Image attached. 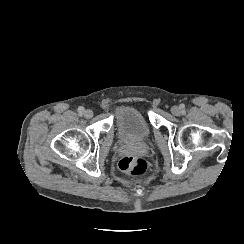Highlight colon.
<instances>
[{
  "label": "colon",
  "instance_id": "1",
  "mask_svg": "<svg viewBox=\"0 0 244 244\" xmlns=\"http://www.w3.org/2000/svg\"><path fill=\"white\" fill-rule=\"evenodd\" d=\"M119 168L132 175H143L148 171L149 163L142 156H124L119 161Z\"/></svg>",
  "mask_w": 244,
  "mask_h": 244
}]
</instances>
